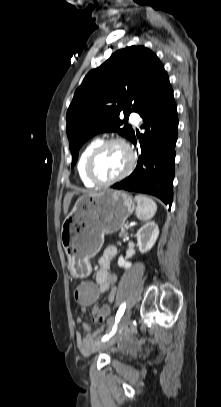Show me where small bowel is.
Instances as JSON below:
<instances>
[{
	"label": "small bowel",
	"instance_id": "small-bowel-1",
	"mask_svg": "<svg viewBox=\"0 0 221 407\" xmlns=\"http://www.w3.org/2000/svg\"><path fill=\"white\" fill-rule=\"evenodd\" d=\"M116 255L117 248L115 246H108L105 248L101 257L99 258L95 273V283H98L99 285L98 291L100 295L108 293L109 302L114 300L116 292L117 276L112 274L110 271L111 262ZM101 309L102 307L100 308L99 305H92L90 310L92 314H99ZM76 322L81 325L84 331L87 332L85 335H82L80 332H77L76 334L79 351L82 354L87 355L97 349V339L103 329L100 328L94 332H90L89 326L85 324L81 318L78 317ZM108 323L110 324V322Z\"/></svg>",
	"mask_w": 221,
	"mask_h": 407
}]
</instances>
